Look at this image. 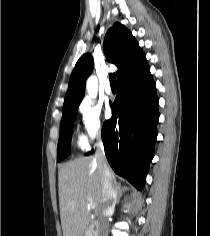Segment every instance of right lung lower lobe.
<instances>
[{
	"mask_svg": "<svg viewBox=\"0 0 210 236\" xmlns=\"http://www.w3.org/2000/svg\"><path fill=\"white\" fill-rule=\"evenodd\" d=\"M117 86L112 118L102 128L105 154L115 173L142 189L154 156L159 119L156 86L148 64L118 80Z\"/></svg>",
	"mask_w": 210,
	"mask_h": 236,
	"instance_id": "1",
	"label": "right lung lower lobe"
}]
</instances>
